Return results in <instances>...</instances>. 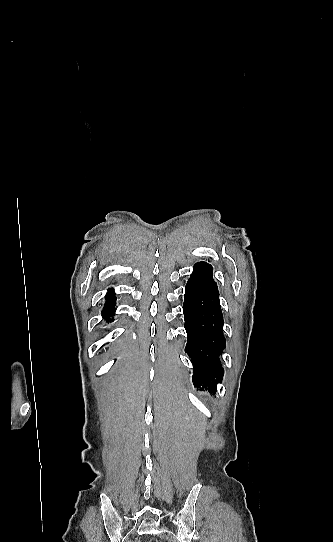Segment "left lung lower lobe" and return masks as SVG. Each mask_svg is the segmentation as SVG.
Returning a JSON list of instances; mask_svg holds the SVG:
<instances>
[{
	"mask_svg": "<svg viewBox=\"0 0 333 542\" xmlns=\"http://www.w3.org/2000/svg\"><path fill=\"white\" fill-rule=\"evenodd\" d=\"M183 313L188 337L185 352L195 369L194 385L214 392L223 379L219 356L225 348V337L219 292L210 264L198 262L194 265L185 287Z\"/></svg>",
	"mask_w": 333,
	"mask_h": 542,
	"instance_id": "obj_1",
	"label": "left lung lower lobe"
}]
</instances>
